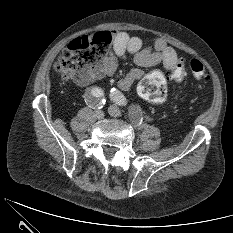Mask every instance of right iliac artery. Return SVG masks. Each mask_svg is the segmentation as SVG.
<instances>
[{
	"instance_id": "1",
	"label": "right iliac artery",
	"mask_w": 233,
	"mask_h": 233,
	"mask_svg": "<svg viewBox=\"0 0 233 233\" xmlns=\"http://www.w3.org/2000/svg\"><path fill=\"white\" fill-rule=\"evenodd\" d=\"M85 101L92 108H102L105 104L103 90L97 87L92 88L85 94Z\"/></svg>"
}]
</instances>
